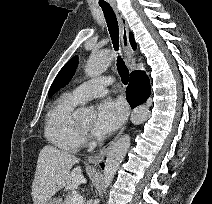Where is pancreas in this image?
Here are the masks:
<instances>
[{"label":"pancreas","instance_id":"cf45deb5","mask_svg":"<svg viewBox=\"0 0 212 204\" xmlns=\"http://www.w3.org/2000/svg\"><path fill=\"white\" fill-rule=\"evenodd\" d=\"M71 197H72V195H67L66 198L64 199V201L62 202V204H70Z\"/></svg>","mask_w":212,"mask_h":204}]
</instances>
